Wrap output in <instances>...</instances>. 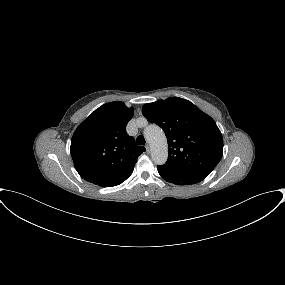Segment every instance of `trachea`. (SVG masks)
I'll use <instances>...</instances> for the list:
<instances>
[{
  "mask_svg": "<svg viewBox=\"0 0 285 285\" xmlns=\"http://www.w3.org/2000/svg\"><path fill=\"white\" fill-rule=\"evenodd\" d=\"M136 143L138 144V145H145V139H144V137L143 136H138L137 138H136Z\"/></svg>",
  "mask_w": 285,
  "mask_h": 285,
  "instance_id": "trachea-1",
  "label": "trachea"
}]
</instances>
